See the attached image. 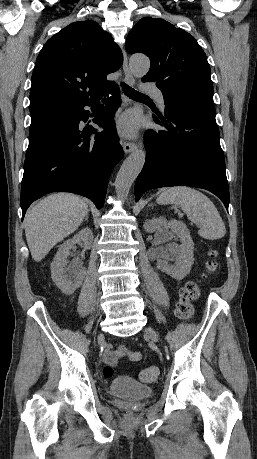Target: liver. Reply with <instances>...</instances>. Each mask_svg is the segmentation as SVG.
Masks as SVG:
<instances>
[{"instance_id":"6515ba94","label":"liver","mask_w":257,"mask_h":459,"mask_svg":"<svg viewBox=\"0 0 257 459\" xmlns=\"http://www.w3.org/2000/svg\"><path fill=\"white\" fill-rule=\"evenodd\" d=\"M88 212L81 198L66 193L49 195L34 205L24 221L33 260L40 262L58 242L77 230Z\"/></svg>"}]
</instances>
